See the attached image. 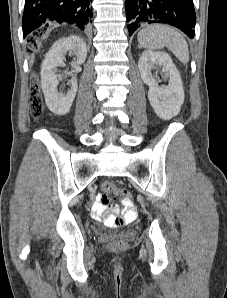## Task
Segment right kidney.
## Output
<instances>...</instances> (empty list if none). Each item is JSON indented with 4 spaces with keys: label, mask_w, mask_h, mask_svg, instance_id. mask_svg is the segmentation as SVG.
I'll use <instances>...</instances> for the list:
<instances>
[{
    "label": "right kidney",
    "mask_w": 227,
    "mask_h": 298,
    "mask_svg": "<svg viewBox=\"0 0 227 298\" xmlns=\"http://www.w3.org/2000/svg\"><path fill=\"white\" fill-rule=\"evenodd\" d=\"M67 53L74 56L73 65L79 67L87 57L85 42L78 36L59 39L45 55L41 66V84L46 105L56 115H66L69 112L78 88L74 74L70 80L71 89L67 93H59L57 90L59 84L57 67L62 65Z\"/></svg>",
    "instance_id": "right-kidney-1"
}]
</instances>
